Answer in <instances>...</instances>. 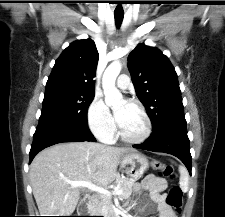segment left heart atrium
I'll return each instance as SVG.
<instances>
[{
  "mask_svg": "<svg viewBox=\"0 0 225 217\" xmlns=\"http://www.w3.org/2000/svg\"><path fill=\"white\" fill-rule=\"evenodd\" d=\"M123 115H124V109L123 108L115 113V117H116V120H117L118 124H120L122 122Z\"/></svg>",
  "mask_w": 225,
  "mask_h": 217,
  "instance_id": "39dd6f15",
  "label": "left heart atrium"
}]
</instances>
